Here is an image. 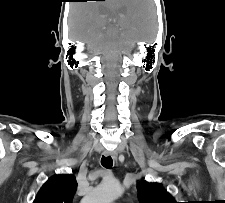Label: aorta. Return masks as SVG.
Masks as SVG:
<instances>
[{"mask_svg": "<svg viewBox=\"0 0 225 203\" xmlns=\"http://www.w3.org/2000/svg\"><path fill=\"white\" fill-rule=\"evenodd\" d=\"M122 192L117 181H105L89 192L81 203H112Z\"/></svg>", "mask_w": 225, "mask_h": 203, "instance_id": "1", "label": "aorta"}]
</instances>
